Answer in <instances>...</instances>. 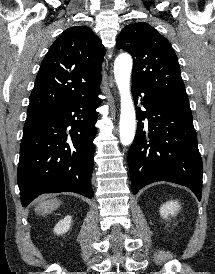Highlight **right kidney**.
Segmentation results:
<instances>
[{"instance_id": "1", "label": "right kidney", "mask_w": 215, "mask_h": 274, "mask_svg": "<svg viewBox=\"0 0 215 274\" xmlns=\"http://www.w3.org/2000/svg\"><path fill=\"white\" fill-rule=\"evenodd\" d=\"M71 222H72L71 216H66L63 220H60L56 224L54 228V233H56L57 235H60L67 232L70 229Z\"/></svg>"}]
</instances>
